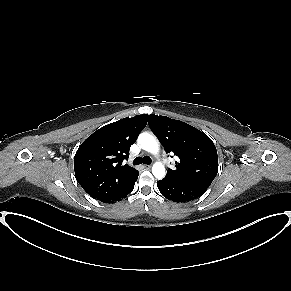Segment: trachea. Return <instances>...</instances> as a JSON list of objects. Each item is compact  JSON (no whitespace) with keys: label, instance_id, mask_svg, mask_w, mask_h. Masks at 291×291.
<instances>
[{"label":"trachea","instance_id":"3493384b","mask_svg":"<svg viewBox=\"0 0 291 291\" xmlns=\"http://www.w3.org/2000/svg\"><path fill=\"white\" fill-rule=\"evenodd\" d=\"M151 162H152L151 158L148 157V156H145V157H143V158H141V157H136V158L134 159V161H133V164H134V165H139V164L144 163V164L149 165V164H151Z\"/></svg>","mask_w":291,"mask_h":291}]
</instances>
